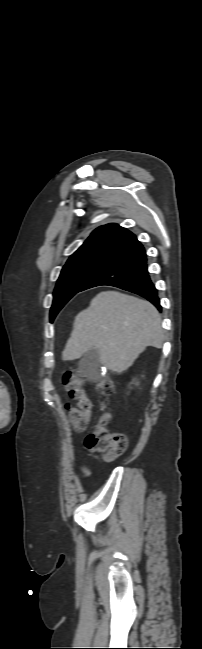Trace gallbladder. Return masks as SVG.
<instances>
[{
  "mask_svg": "<svg viewBox=\"0 0 202 649\" xmlns=\"http://www.w3.org/2000/svg\"><path fill=\"white\" fill-rule=\"evenodd\" d=\"M79 372L90 381H96L101 378V362L98 350L92 348L88 350L81 358L78 364Z\"/></svg>",
  "mask_w": 202,
  "mask_h": 649,
  "instance_id": "1",
  "label": "gallbladder"
}]
</instances>
